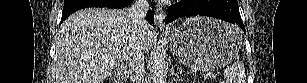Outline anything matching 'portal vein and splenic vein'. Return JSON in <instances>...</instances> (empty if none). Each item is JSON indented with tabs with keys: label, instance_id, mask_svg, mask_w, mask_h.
<instances>
[{
	"label": "portal vein and splenic vein",
	"instance_id": "1",
	"mask_svg": "<svg viewBox=\"0 0 307 83\" xmlns=\"http://www.w3.org/2000/svg\"><path fill=\"white\" fill-rule=\"evenodd\" d=\"M217 74L213 73V74H209L210 78H216Z\"/></svg>",
	"mask_w": 307,
	"mask_h": 83
}]
</instances>
